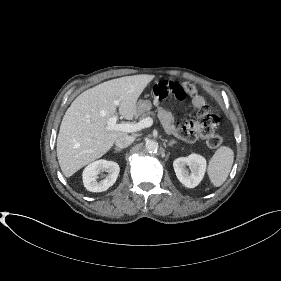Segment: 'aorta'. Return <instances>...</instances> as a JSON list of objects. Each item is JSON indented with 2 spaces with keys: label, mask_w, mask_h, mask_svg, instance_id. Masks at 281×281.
<instances>
[{
  "label": "aorta",
  "mask_w": 281,
  "mask_h": 281,
  "mask_svg": "<svg viewBox=\"0 0 281 281\" xmlns=\"http://www.w3.org/2000/svg\"><path fill=\"white\" fill-rule=\"evenodd\" d=\"M146 150L150 153L156 152L159 148L158 142L155 140H147L145 143Z\"/></svg>",
  "instance_id": "1"
}]
</instances>
